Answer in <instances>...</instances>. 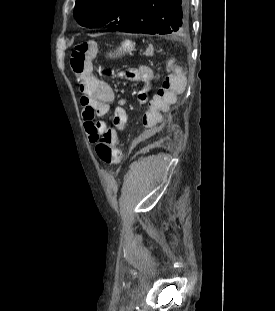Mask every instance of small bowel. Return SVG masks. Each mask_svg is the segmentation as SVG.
I'll use <instances>...</instances> for the list:
<instances>
[{"label":"small bowel","instance_id":"c3829d8e","mask_svg":"<svg viewBox=\"0 0 275 311\" xmlns=\"http://www.w3.org/2000/svg\"><path fill=\"white\" fill-rule=\"evenodd\" d=\"M178 56H165V73H155L152 65H142L137 61V69H131L129 78L143 82V91L139 92L138 103H147L139 116L141 129H154L166 112H173L178 107L180 98H186L189 81L186 73L180 69ZM146 80H151L150 85ZM80 89L85 93L81 98L85 131L91 142L92 136L114 128L116 133H123L126 129L127 113L124 109L126 101L116 99L112 87L105 80L88 73L77 79ZM152 87H157V92H152ZM148 93L149 96H148ZM110 110L113 112L112 125L104 121H95V117H102ZM140 142L144 141L141 133L137 134Z\"/></svg>","mask_w":275,"mask_h":311}]
</instances>
